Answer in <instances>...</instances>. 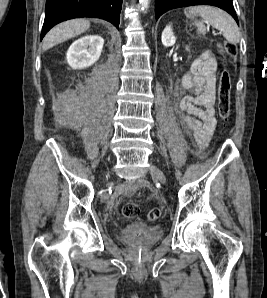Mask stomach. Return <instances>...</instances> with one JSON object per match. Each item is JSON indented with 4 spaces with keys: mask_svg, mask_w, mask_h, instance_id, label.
Listing matches in <instances>:
<instances>
[{
    "mask_svg": "<svg viewBox=\"0 0 267 298\" xmlns=\"http://www.w3.org/2000/svg\"><path fill=\"white\" fill-rule=\"evenodd\" d=\"M185 15H186V17H187L188 19H191V20H193L194 17H195L193 14H191V13L189 12V10H185Z\"/></svg>",
    "mask_w": 267,
    "mask_h": 298,
    "instance_id": "1",
    "label": "stomach"
}]
</instances>
